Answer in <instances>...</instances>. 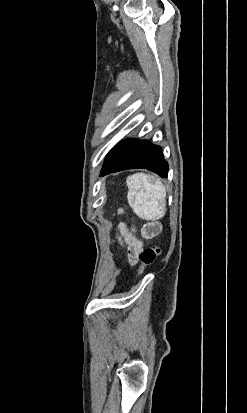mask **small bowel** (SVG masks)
I'll list each match as a JSON object with an SVG mask.
<instances>
[{"instance_id":"obj_1","label":"small bowel","mask_w":247,"mask_h":413,"mask_svg":"<svg viewBox=\"0 0 247 413\" xmlns=\"http://www.w3.org/2000/svg\"><path fill=\"white\" fill-rule=\"evenodd\" d=\"M161 232V225L158 222H148L142 226L140 230L141 237L143 239H151ZM119 233L123 239L124 244L127 246L129 258L132 255L133 250L140 251L143 249V242L137 237L133 229H130L125 223L119 224ZM132 237L135 239L134 246L128 243V238ZM131 262H136V260L130 259Z\"/></svg>"}]
</instances>
